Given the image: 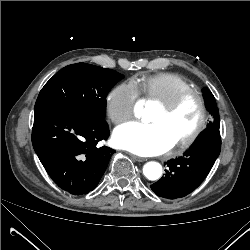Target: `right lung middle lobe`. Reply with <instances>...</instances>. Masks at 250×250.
Listing matches in <instances>:
<instances>
[{
  "label": "right lung middle lobe",
  "instance_id": "obj_1",
  "mask_svg": "<svg viewBox=\"0 0 250 250\" xmlns=\"http://www.w3.org/2000/svg\"><path fill=\"white\" fill-rule=\"evenodd\" d=\"M122 78L114 70L86 63L66 66L42 88L35 111L59 109L104 119L107 94Z\"/></svg>",
  "mask_w": 250,
  "mask_h": 250
}]
</instances>
